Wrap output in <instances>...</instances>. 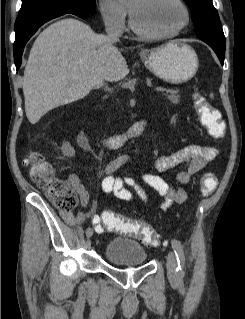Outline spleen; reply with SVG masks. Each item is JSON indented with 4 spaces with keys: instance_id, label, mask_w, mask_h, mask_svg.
Listing matches in <instances>:
<instances>
[{
    "instance_id": "1",
    "label": "spleen",
    "mask_w": 245,
    "mask_h": 319,
    "mask_svg": "<svg viewBox=\"0 0 245 319\" xmlns=\"http://www.w3.org/2000/svg\"><path fill=\"white\" fill-rule=\"evenodd\" d=\"M210 97L213 98V94H210Z\"/></svg>"
}]
</instances>
